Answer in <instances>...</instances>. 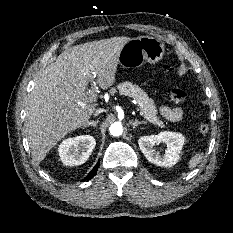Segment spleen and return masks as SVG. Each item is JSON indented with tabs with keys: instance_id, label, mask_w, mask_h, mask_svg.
<instances>
[{
	"instance_id": "spleen-1",
	"label": "spleen",
	"mask_w": 233,
	"mask_h": 233,
	"mask_svg": "<svg viewBox=\"0 0 233 233\" xmlns=\"http://www.w3.org/2000/svg\"><path fill=\"white\" fill-rule=\"evenodd\" d=\"M203 157H204L203 152H199V153H196L195 155H193L188 162V168L190 170H193L194 168H196L198 166V164L201 162V160L203 159Z\"/></svg>"
}]
</instances>
